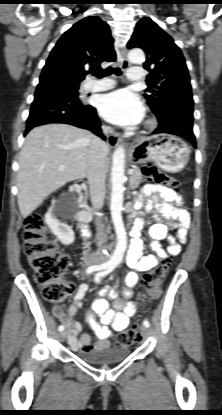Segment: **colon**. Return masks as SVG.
<instances>
[{"mask_svg":"<svg viewBox=\"0 0 222 415\" xmlns=\"http://www.w3.org/2000/svg\"><path fill=\"white\" fill-rule=\"evenodd\" d=\"M144 174L157 184L173 189L180 187L177 179L160 172L155 167H145ZM178 232V229H174L175 234ZM24 251L35 272L37 283L43 288V296L46 300L58 303L71 294L72 285L61 277L69 264V257L61 253L58 250V243L49 237L40 214H31L25 220ZM168 269L169 262L165 260L143 275L141 287L144 292L141 306L159 297L158 286L165 278ZM138 339L139 332L135 327L119 335L117 344L129 345Z\"/></svg>","mask_w":222,"mask_h":415,"instance_id":"1","label":"colon"}]
</instances>
